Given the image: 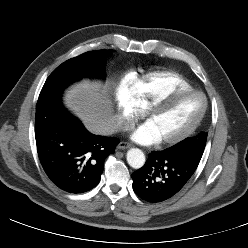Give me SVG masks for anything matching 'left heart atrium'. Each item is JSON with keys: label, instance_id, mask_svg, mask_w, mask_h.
I'll use <instances>...</instances> for the list:
<instances>
[{"label": "left heart atrium", "instance_id": "obj_1", "mask_svg": "<svg viewBox=\"0 0 248 248\" xmlns=\"http://www.w3.org/2000/svg\"><path fill=\"white\" fill-rule=\"evenodd\" d=\"M132 138L134 141L145 145L154 144L161 140L148 122L140 125L132 133Z\"/></svg>", "mask_w": 248, "mask_h": 248}]
</instances>
